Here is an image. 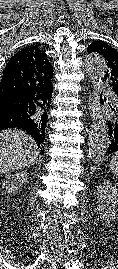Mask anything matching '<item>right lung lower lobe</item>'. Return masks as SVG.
<instances>
[{
  "mask_svg": "<svg viewBox=\"0 0 118 269\" xmlns=\"http://www.w3.org/2000/svg\"><path fill=\"white\" fill-rule=\"evenodd\" d=\"M36 100L37 96L30 92L0 93V130L22 129L42 146L46 132L38 134L36 131Z\"/></svg>",
  "mask_w": 118,
  "mask_h": 269,
  "instance_id": "1",
  "label": "right lung lower lobe"
}]
</instances>
